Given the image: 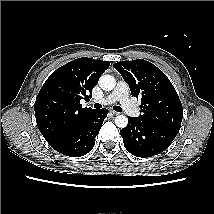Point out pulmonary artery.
Segmentation results:
<instances>
[{
    "instance_id": "pulmonary-artery-1",
    "label": "pulmonary artery",
    "mask_w": 214,
    "mask_h": 214,
    "mask_svg": "<svg viewBox=\"0 0 214 214\" xmlns=\"http://www.w3.org/2000/svg\"><path fill=\"white\" fill-rule=\"evenodd\" d=\"M117 101L127 114L133 117L139 116V108L129 99V87L124 81H118L114 90L108 96L99 100L102 104H112Z\"/></svg>"
}]
</instances>
